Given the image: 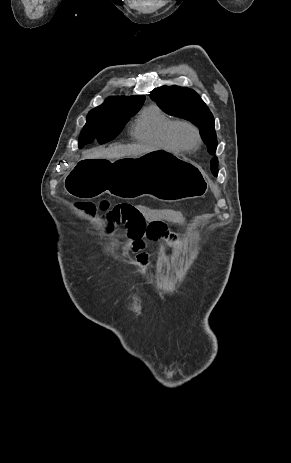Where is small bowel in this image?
I'll list each match as a JSON object with an SVG mask.
<instances>
[{
	"instance_id": "obj_1",
	"label": "small bowel",
	"mask_w": 291,
	"mask_h": 463,
	"mask_svg": "<svg viewBox=\"0 0 291 463\" xmlns=\"http://www.w3.org/2000/svg\"><path fill=\"white\" fill-rule=\"evenodd\" d=\"M123 218L127 225L128 239L120 247L122 257L126 263H129V255L133 254L141 271H147L150 264L146 239L164 240L170 246L176 247L179 236L169 228L168 223L186 225V219L181 212L167 208L130 206Z\"/></svg>"
}]
</instances>
